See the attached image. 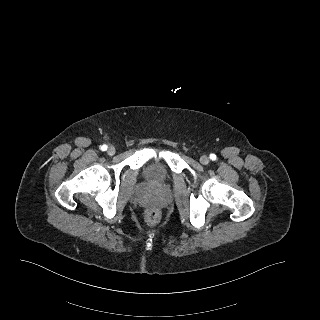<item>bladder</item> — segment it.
<instances>
[{
  "instance_id": "bladder-1",
  "label": "bladder",
  "mask_w": 320,
  "mask_h": 320,
  "mask_svg": "<svg viewBox=\"0 0 320 320\" xmlns=\"http://www.w3.org/2000/svg\"><path fill=\"white\" fill-rule=\"evenodd\" d=\"M145 176L149 179V180H163L166 176L165 170L162 166H158V165H149L146 168L145 171Z\"/></svg>"
}]
</instances>
